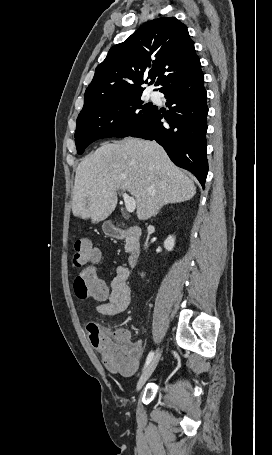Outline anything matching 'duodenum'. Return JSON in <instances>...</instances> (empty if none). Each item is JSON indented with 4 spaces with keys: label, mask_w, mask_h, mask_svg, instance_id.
Listing matches in <instances>:
<instances>
[{
    "label": "duodenum",
    "mask_w": 272,
    "mask_h": 455,
    "mask_svg": "<svg viewBox=\"0 0 272 455\" xmlns=\"http://www.w3.org/2000/svg\"><path fill=\"white\" fill-rule=\"evenodd\" d=\"M108 233L117 239L128 240L129 251L127 260L130 266H136L140 257L139 239L141 236V229L137 226H131L125 229L116 225H111L108 228Z\"/></svg>",
    "instance_id": "1"
}]
</instances>
